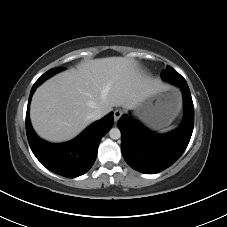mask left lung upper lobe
I'll list each match as a JSON object with an SVG mask.
<instances>
[{
    "label": "left lung upper lobe",
    "mask_w": 227,
    "mask_h": 227,
    "mask_svg": "<svg viewBox=\"0 0 227 227\" xmlns=\"http://www.w3.org/2000/svg\"><path fill=\"white\" fill-rule=\"evenodd\" d=\"M161 77L169 82H175L176 80H179L181 82H186L185 79L172 67L167 66L165 70L162 71Z\"/></svg>",
    "instance_id": "obj_1"
}]
</instances>
